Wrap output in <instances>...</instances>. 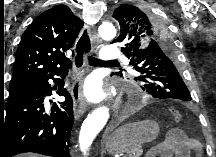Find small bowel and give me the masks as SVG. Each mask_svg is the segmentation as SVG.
Instances as JSON below:
<instances>
[{"instance_id": "obj_1", "label": "small bowel", "mask_w": 216, "mask_h": 157, "mask_svg": "<svg viewBox=\"0 0 216 157\" xmlns=\"http://www.w3.org/2000/svg\"><path fill=\"white\" fill-rule=\"evenodd\" d=\"M192 152L197 156L201 155V144L197 140L188 137L181 130H172L163 142L159 155L164 157L171 155L190 157Z\"/></svg>"}]
</instances>
